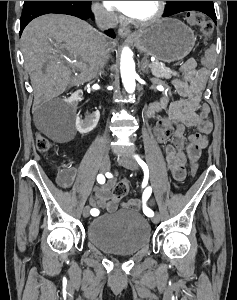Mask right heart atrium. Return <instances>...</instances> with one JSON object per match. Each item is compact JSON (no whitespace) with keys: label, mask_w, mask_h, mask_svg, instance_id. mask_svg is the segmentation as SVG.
Masks as SVG:
<instances>
[{"label":"right heart atrium","mask_w":237,"mask_h":300,"mask_svg":"<svg viewBox=\"0 0 237 300\" xmlns=\"http://www.w3.org/2000/svg\"><path fill=\"white\" fill-rule=\"evenodd\" d=\"M92 13L95 20L99 24L103 25H113L116 22V15L107 10L102 4L94 2L92 4Z\"/></svg>","instance_id":"right-heart-atrium-1"}]
</instances>
